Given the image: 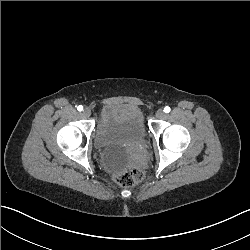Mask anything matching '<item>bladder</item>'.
<instances>
[{
    "label": "bladder",
    "instance_id": "31cf9c89",
    "mask_svg": "<svg viewBox=\"0 0 250 250\" xmlns=\"http://www.w3.org/2000/svg\"><path fill=\"white\" fill-rule=\"evenodd\" d=\"M92 139L97 151L115 144L147 139L142 110L137 106L120 102L105 103L100 109V118Z\"/></svg>",
    "mask_w": 250,
    "mask_h": 250
}]
</instances>
